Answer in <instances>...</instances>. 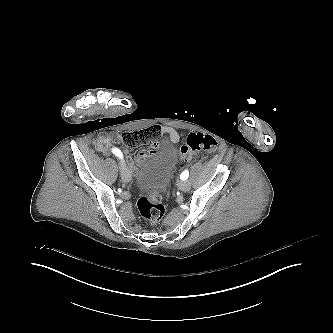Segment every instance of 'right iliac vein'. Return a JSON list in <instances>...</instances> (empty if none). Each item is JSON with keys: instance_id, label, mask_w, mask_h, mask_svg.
Instances as JSON below:
<instances>
[{"instance_id": "right-iliac-vein-1", "label": "right iliac vein", "mask_w": 333, "mask_h": 333, "mask_svg": "<svg viewBox=\"0 0 333 333\" xmlns=\"http://www.w3.org/2000/svg\"><path fill=\"white\" fill-rule=\"evenodd\" d=\"M131 179H132L131 173L129 172L128 168H125L124 180L126 182H130Z\"/></svg>"}]
</instances>
